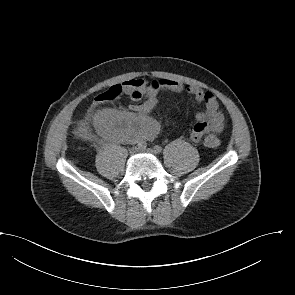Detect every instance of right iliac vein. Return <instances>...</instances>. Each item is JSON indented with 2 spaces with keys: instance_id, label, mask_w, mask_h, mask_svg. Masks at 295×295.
Here are the masks:
<instances>
[{
  "instance_id": "right-iliac-vein-1",
  "label": "right iliac vein",
  "mask_w": 295,
  "mask_h": 295,
  "mask_svg": "<svg viewBox=\"0 0 295 295\" xmlns=\"http://www.w3.org/2000/svg\"><path fill=\"white\" fill-rule=\"evenodd\" d=\"M137 150H138V149H137L136 147H132V148L130 149V153L133 154V153L137 152Z\"/></svg>"
}]
</instances>
